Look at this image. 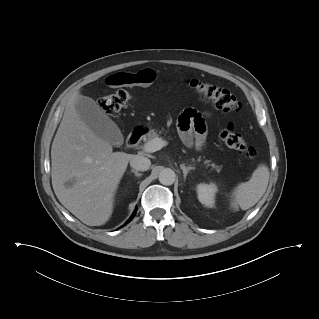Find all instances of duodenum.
<instances>
[{"label":"duodenum","mask_w":319,"mask_h":319,"mask_svg":"<svg viewBox=\"0 0 319 319\" xmlns=\"http://www.w3.org/2000/svg\"><path fill=\"white\" fill-rule=\"evenodd\" d=\"M142 136H143V130L142 129L134 130L127 137V140H126L127 146L128 147L135 146L140 141Z\"/></svg>","instance_id":"duodenum-1"}]
</instances>
